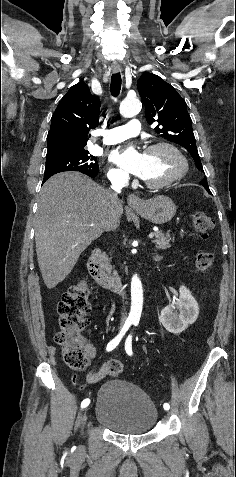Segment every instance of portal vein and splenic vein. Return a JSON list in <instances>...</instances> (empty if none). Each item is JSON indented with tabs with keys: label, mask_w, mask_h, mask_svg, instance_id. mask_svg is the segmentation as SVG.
<instances>
[{
	"label": "portal vein and splenic vein",
	"mask_w": 236,
	"mask_h": 477,
	"mask_svg": "<svg viewBox=\"0 0 236 477\" xmlns=\"http://www.w3.org/2000/svg\"><path fill=\"white\" fill-rule=\"evenodd\" d=\"M154 236H155L154 233H150V234H149V238H150V239H152Z\"/></svg>",
	"instance_id": "obj_1"
}]
</instances>
